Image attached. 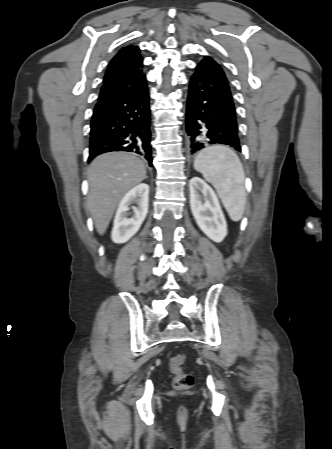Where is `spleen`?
<instances>
[{"label": "spleen", "mask_w": 332, "mask_h": 449, "mask_svg": "<svg viewBox=\"0 0 332 449\" xmlns=\"http://www.w3.org/2000/svg\"><path fill=\"white\" fill-rule=\"evenodd\" d=\"M194 169L216 189L233 221H239L246 204L245 174L236 153L228 147L214 145L200 151Z\"/></svg>", "instance_id": "3e777b00"}]
</instances>
